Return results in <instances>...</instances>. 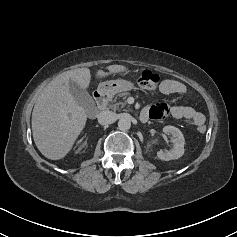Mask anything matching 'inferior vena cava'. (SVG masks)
Instances as JSON below:
<instances>
[{
	"label": "inferior vena cava",
	"instance_id": "602c4592",
	"mask_svg": "<svg viewBox=\"0 0 237 237\" xmlns=\"http://www.w3.org/2000/svg\"><path fill=\"white\" fill-rule=\"evenodd\" d=\"M116 121V114L112 111L105 110L99 113L98 122L101 125L112 124Z\"/></svg>",
	"mask_w": 237,
	"mask_h": 237
}]
</instances>
